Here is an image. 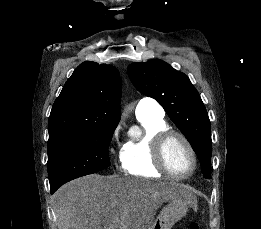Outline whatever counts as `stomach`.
Masks as SVG:
<instances>
[{"label":"stomach","mask_w":261,"mask_h":229,"mask_svg":"<svg viewBox=\"0 0 261 229\" xmlns=\"http://www.w3.org/2000/svg\"><path fill=\"white\" fill-rule=\"evenodd\" d=\"M176 187H186V185L176 183ZM191 195H193V193H191ZM190 203H193L192 197L189 201H187V199H173L169 205H166V207L160 211L151 229H172L177 221H180L182 217L187 215L188 205H190Z\"/></svg>","instance_id":"stomach-1"}]
</instances>
